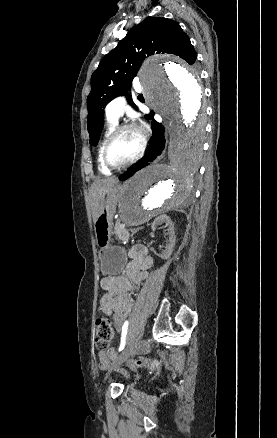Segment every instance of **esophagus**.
Segmentation results:
<instances>
[{"label":"esophagus","mask_w":277,"mask_h":438,"mask_svg":"<svg viewBox=\"0 0 277 438\" xmlns=\"http://www.w3.org/2000/svg\"><path fill=\"white\" fill-rule=\"evenodd\" d=\"M162 157H163V154H162V156L159 157V159H161Z\"/></svg>","instance_id":"1"}]
</instances>
